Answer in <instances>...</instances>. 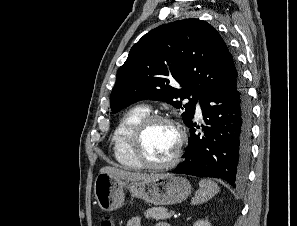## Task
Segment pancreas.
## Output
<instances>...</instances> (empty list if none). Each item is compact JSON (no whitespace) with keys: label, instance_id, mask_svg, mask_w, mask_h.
<instances>
[{"label":"pancreas","instance_id":"1","mask_svg":"<svg viewBox=\"0 0 297 226\" xmlns=\"http://www.w3.org/2000/svg\"><path fill=\"white\" fill-rule=\"evenodd\" d=\"M147 219H154L156 221L170 219L172 214L165 207H152L144 213Z\"/></svg>","mask_w":297,"mask_h":226}]
</instances>
